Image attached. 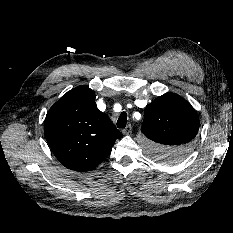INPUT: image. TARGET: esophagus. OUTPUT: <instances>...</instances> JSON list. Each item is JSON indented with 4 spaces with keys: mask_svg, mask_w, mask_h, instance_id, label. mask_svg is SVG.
Listing matches in <instances>:
<instances>
[{
    "mask_svg": "<svg viewBox=\"0 0 233 233\" xmlns=\"http://www.w3.org/2000/svg\"><path fill=\"white\" fill-rule=\"evenodd\" d=\"M131 131H132V126H131V125H127V126L122 130V132H123L124 135H129V134L131 133Z\"/></svg>",
    "mask_w": 233,
    "mask_h": 233,
    "instance_id": "1",
    "label": "esophagus"
}]
</instances>
